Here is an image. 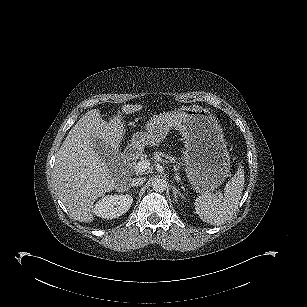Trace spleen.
Returning <instances> with one entry per match:
<instances>
[{
    "mask_svg": "<svg viewBox=\"0 0 307 307\" xmlns=\"http://www.w3.org/2000/svg\"><path fill=\"white\" fill-rule=\"evenodd\" d=\"M244 170L239 166L227 182L224 196L203 192L195 201V213L210 225L219 226L229 220L238 208L244 189Z\"/></svg>",
    "mask_w": 307,
    "mask_h": 307,
    "instance_id": "1",
    "label": "spleen"
}]
</instances>
